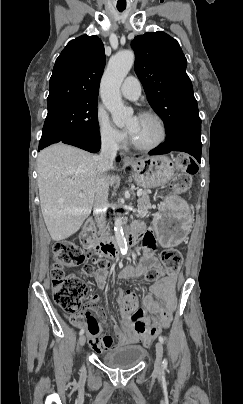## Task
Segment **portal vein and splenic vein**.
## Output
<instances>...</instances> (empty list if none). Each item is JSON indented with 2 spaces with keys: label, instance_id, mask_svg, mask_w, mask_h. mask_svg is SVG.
Instances as JSON below:
<instances>
[{
  "label": "portal vein and splenic vein",
  "instance_id": "1",
  "mask_svg": "<svg viewBox=\"0 0 243 404\" xmlns=\"http://www.w3.org/2000/svg\"><path fill=\"white\" fill-rule=\"evenodd\" d=\"M143 190H137V196H142ZM80 198H84V194H80Z\"/></svg>",
  "mask_w": 243,
  "mask_h": 404
}]
</instances>
